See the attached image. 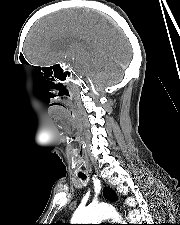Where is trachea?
<instances>
[{"label": "trachea", "instance_id": "obj_1", "mask_svg": "<svg viewBox=\"0 0 180 225\" xmlns=\"http://www.w3.org/2000/svg\"><path fill=\"white\" fill-rule=\"evenodd\" d=\"M80 178L85 179L86 177L84 175H80Z\"/></svg>", "mask_w": 180, "mask_h": 225}]
</instances>
